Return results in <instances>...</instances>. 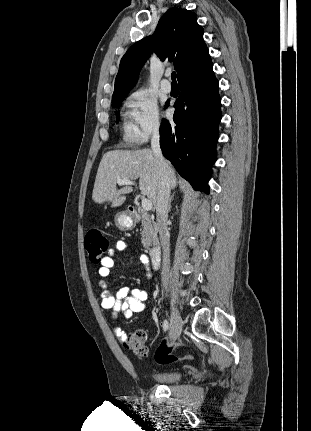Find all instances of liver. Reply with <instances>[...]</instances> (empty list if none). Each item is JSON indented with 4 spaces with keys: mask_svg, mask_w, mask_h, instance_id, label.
I'll return each mask as SVG.
<instances>
[{
    "mask_svg": "<svg viewBox=\"0 0 311 431\" xmlns=\"http://www.w3.org/2000/svg\"><path fill=\"white\" fill-rule=\"evenodd\" d=\"M171 190L177 186L176 172L164 160ZM117 180H138L142 196H147L154 210L158 192V162L152 150H112L104 154L97 170L92 200L95 204H110V208H119L127 200V194L133 192L132 186H123L118 190Z\"/></svg>",
    "mask_w": 311,
    "mask_h": 431,
    "instance_id": "6515ba94",
    "label": "liver"
}]
</instances>
